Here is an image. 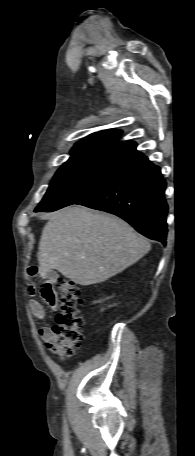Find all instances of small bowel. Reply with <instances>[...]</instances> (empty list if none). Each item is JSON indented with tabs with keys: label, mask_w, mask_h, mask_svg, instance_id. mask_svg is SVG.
<instances>
[{
	"label": "small bowel",
	"mask_w": 195,
	"mask_h": 456,
	"mask_svg": "<svg viewBox=\"0 0 195 456\" xmlns=\"http://www.w3.org/2000/svg\"><path fill=\"white\" fill-rule=\"evenodd\" d=\"M28 276L30 282L29 291L32 295H35L37 289L32 280L37 276V269L35 267L29 268ZM40 277L42 278V284L40 287L41 296L50 306L53 307L56 303V295L53 288L55 278L52 274H42ZM29 306L33 316L39 319H43L45 317V309L39 301L31 300ZM38 333L41 339L46 343H52L56 340V335L50 327H42L39 329Z\"/></svg>",
	"instance_id": "small-bowel-1"
}]
</instances>
